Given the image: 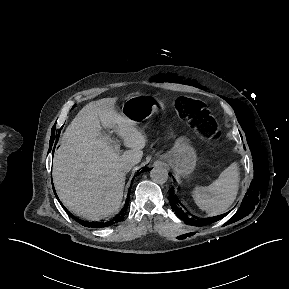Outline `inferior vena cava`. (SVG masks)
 <instances>
[{"mask_svg":"<svg viewBox=\"0 0 289 289\" xmlns=\"http://www.w3.org/2000/svg\"><path fill=\"white\" fill-rule=\"evenodd\" d=\"M134 164L133 163H126L124 166H123V170L127 173L130 171V169L132 168Z\"/></svg>","mask_w":289,"mask_h":289,"instance_id":"602c4592","label":"inferior vena cava"}]
</instances>
